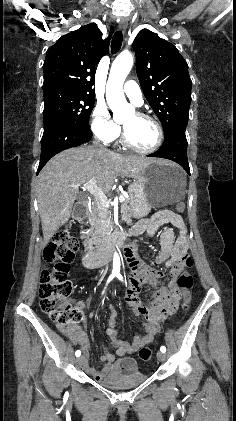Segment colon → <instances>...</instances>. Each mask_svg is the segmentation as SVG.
<instances>
[{
	"instance_id": "obj_1",
	"label": "colon",
	"mask_w": 236,
	"mask_h": 421,
	"mask_svg": "<svg viewBox=\"0 0 236 421\" xmlns=\"http://www.w3.org/2000/svg\"><path fill=\"white\" fill-rule=\"evenodd\" d=\"M185 203L179 202L176 209L185 211ZM76 241L71 235L69 226L59 229L44 250V259L49 265L40 277L39 298L42 311L60 328L67 329L81 322L84 314L81 308L68 302L73 290V282L69 279L70 263L76 251ZM193 260L189 255H183L176 266V284L182 291L183 300L181 310L188 311L191 302L193 277L190 269ZM139 357L149 361L153 357V350L144 347L139 351Z\"/></svg>"
}]
</instances>
